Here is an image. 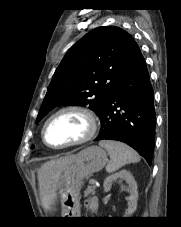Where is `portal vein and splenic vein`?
Returning a JSON list of instances; mask_svg holds the SVG:
<instances>
[{"label": "portal vein and splenic vein", "instance_id": "1", "mask_svg": "<svg viewBox=\"0 0 181 227\" xmlns=\"http://www.w3.org/2000/svg\"><path fill=\"white\" fill-rule=\"evenodd\" d=\"M90 184L94 185L95 184V180L94 179H91L90 180Z\"/></svg>", "mask_w": 181, "mask_h": 227}]
</instances>
